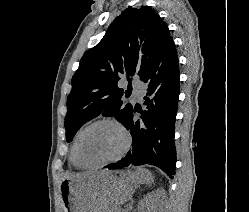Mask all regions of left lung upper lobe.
Masks as SVG:
<instances>
[{
	"instance_id": "left-lung-upper-lobe-1",
	"label": "left lung upper lobe",
	"mask_w": 249,
	"mask_h": 212,
	"mask_svg": "<svg viewBox=\"0 0 249 212\" xmlns=\"http://www.w3.org/2000/svg\"><path fill=\"white\" fill-rule=\"evenodd\" d=\"M171 41L166 23L147 6L127 8L116 17L102 40L83 55L72 77L65 117L67 142L100 114L122 123L132 105L121 100L124 93L128 97L129 89L118 88V81L135 74L142 79Z\"/></svg>"
}]
</instances>
